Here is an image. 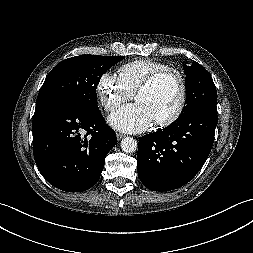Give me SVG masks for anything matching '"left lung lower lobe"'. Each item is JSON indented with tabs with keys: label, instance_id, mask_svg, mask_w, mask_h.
<instances>
[{
	"label": "left lung lower lobe",
	"instance_id": "1",
	"mask_svg": "<svg viewBox=\"0 0 253 253\" xmlns=\"http://www.w3.org/2000/svg\"><path fill=\"white\" fill-rule=\"evenodd\" d=\"M217 111L200 108L163 130L139 138L137 168L152 191L188 183L207 159L214 141Z\"/></svg>",
	"mask_w": 253,
	"mask_h": 253
}]
</instances>
